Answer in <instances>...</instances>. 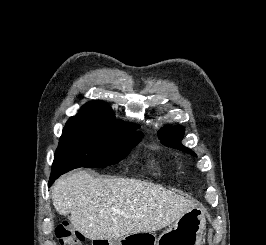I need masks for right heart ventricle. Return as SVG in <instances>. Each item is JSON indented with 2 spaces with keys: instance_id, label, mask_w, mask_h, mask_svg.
<instances>
[{
  "instance_id": "right-heart-ventricle-1",
  "label": "right heart ventricle",
  "mask_w": 266,
  "mask_h": 245,
  "mask_svg": "<svg viewBox=\"0 0 266 245\" xmlns=\"http://www.w3.org/2000/svg\"><path fill=\"white\" fill-rule=\"evenodd\" d=\"M151 168L154 174L158 177H167L173 171V166L169 162H153Z\"/></svg>"
}]
</instances>
